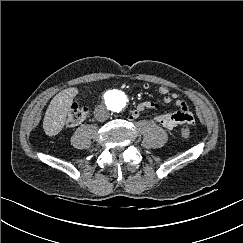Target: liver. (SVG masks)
<instances>
[{"mask_svg":"<svg viewBox=\"0 0 243 243\" xmlns=\"http://www.w3.org/2000/svg\"><path fill=\"white\" fill-rule=\"evenodd\" d=\"M77 93V88H67L53 97L43 120V129L48 136L57 135L62 130Z\"/></svg>","mask_w":243,"mask_h":243,"instance_id":"liver-1","label":"liver"}]
</instances>
